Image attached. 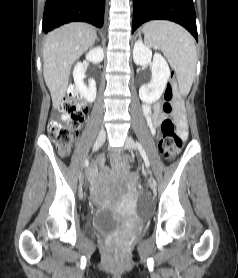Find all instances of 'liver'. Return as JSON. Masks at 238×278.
I'll return each instance as SVG.
<instances>
[{
    "mask_svg": "<svg viewBox=\"0 0 238 278\" xmlns=\"http://www.w3.org/2000/svg\"><path fill=\"white\" fill-rule=\"evenodd\" d=\"M96 38L95 28L86 23H69L47 35L43 47V75L55 109L65 97L72 65Z\"/></svg>",
    "mask_w": 238,
    "mask_h": 278,
    "instance_id": "liver-1",
    "label": "liver"
}]
</instances>
